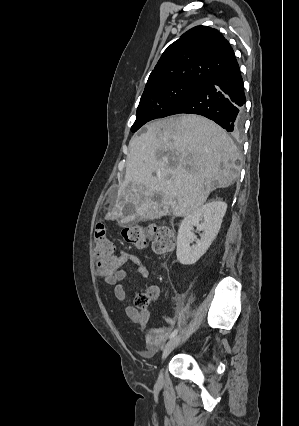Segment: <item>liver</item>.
Masks as SVG:
<instances>
[{"label": "liver", "instance_id": "1", "mask_svg": "<svg viewBox=\"0 0 299 426\" xmlns=\"http://www.w3.org/2000/svg\"><path fill=\"white\" fill-rule=\"evenodd\" d=\"M145 128L129 142L125 179L106 219L123 217L129 203L144 220L170 213L188 216L203 206L210 192L237 178V146L213 121L183 114Z\"/></svg>", "mask_w": 299, "mask_h": 426}]
</instances>
